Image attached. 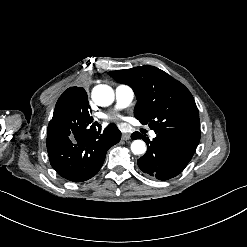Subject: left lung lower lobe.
I'll list each match as a JSON object with an SVG mask.
<instances>
[{
	"instance_id": "1",
	"label": "left lung lower lobe",
	"mask_w": 247,
	"mask_h": 247,
	"mask_svg": "<svg viewBox=\"0 0 247 247\" xmlns=\"http://www.w3.org/2000/svg\"><path fill=\"white\" fill-rule=\"evenodd\" d=\"M132 137L142 138L147 144L146 154L137 161L139 168L158 180H168L180 174L198 145L168 133H157L153 141L138 132L133 133Z\"/></svg>"
}]
</instances>
